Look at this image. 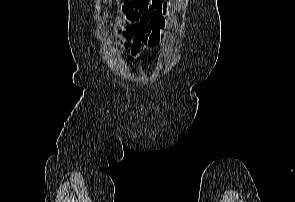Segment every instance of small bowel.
Masks as SVG:
<instances>
[{"label":"small bowel","mask_w":295,"mask_h":202,"mask_svg":"<svg viewBox=\"0 0 295 202\" xmlns=\"http://www.w3.org/2000/svg\"><path fill=\"white\" fill-rule=\"evenodd\" d=\"M124 28L123 45L131 48L133 57L138 58L142 44L148 50L157 49L164 41V28L168 24V7L161 0H135L129 4Z\"/></svg>","instance_id":"1"}]
</instances>
